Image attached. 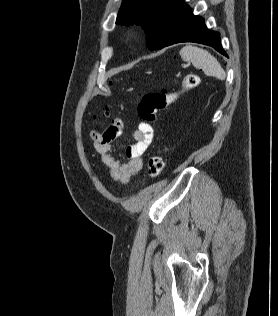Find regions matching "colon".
<instances>
[{"label": "colon", "instance_id": "obj_1", "mask_svg": "<svg viewBox=\"0 0 278 316\" xmlns=\"http://www.w3.org/2000/svg\"><path fill=\"white\" fill-rule=\"evenodd\" d=\"M199 83V77L196 74H187L183 77L180 85L172 91L162 90L157 92L146 93L139 105L138 114L142 121L147 123H155L157 121L158 112L166 109L172 104L182 93L195 88ZM108 114L106 108L104 115ZM164 168V159L159 151L152 154L148 159L147 169L150 177H157Z\"/></svg>", "mask_w": 278, "mask_h": 316}]
</instances>
